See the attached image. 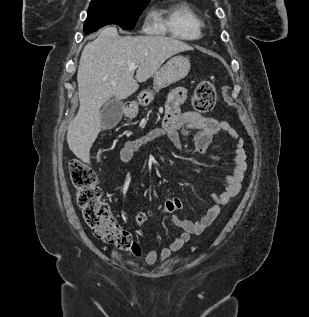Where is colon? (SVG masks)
<instances>
[{
	"label": "colon",
	"instance_id": "5ec220e1",
	"mask_svg": "<svg viewBox=\"0 0 309 317\" xmlns=\"http://www.w3.org/2000/svg\"><path fill=\"white\" fill-rule=\"evenodd\" d=\"M216 103V91L209 81H201L195 88L193 107L199 112L211 111ZM70 178L77 189V203L87 225L94 235L136 257L142 255L139 244L113 217L108 204L102 199V190L97 185L95 171L80 160L69 164Z\"/></svg>",
	"mask_w": 309,
	"mask_h": 317
}]
</instances>
